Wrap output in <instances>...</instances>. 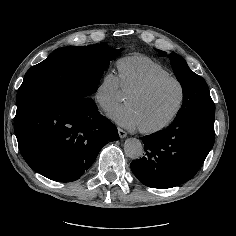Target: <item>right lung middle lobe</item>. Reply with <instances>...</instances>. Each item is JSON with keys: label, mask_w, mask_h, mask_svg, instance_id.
Here are the masks:
<instances>
[{"label": "right lung middle lobe", "mask_w": 236, "mask_h": 236, "mask_svg": "<svg viewBox=\"0 0 236 236\" xmlns=\"http://www.w3.org/2000/svg\"><path fill=\"white\" fill-rule=\"evenodd\" d=\"M122 50L107 44L55 50L25 74L17 93V110L38 100L69 95L92 100L108 63Z\"/></svg>", "instance_id": "dd1d6c3e"}]
</instances>
